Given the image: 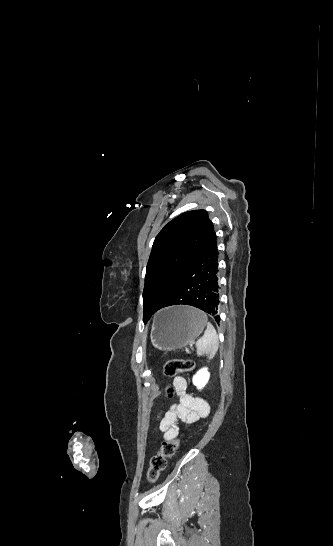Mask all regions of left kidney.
Wrapping results in <instances>:
<instances>
[{
  "label": "left kidney",
  "mask_w": 333,
  "mask_h": 546,
  "mask_svg": "<svg viewBox=\"0 0 333 546\" xmlns=\"http://www.w3.org/2000/svg\"><path fill=\"white\" fill-rule=\"evenodd\" d=\"M209 377L210 374L207 368H202L193 376V384L197 386L198 389H202L207 384Z\"/></svg>",
  "instance_id": "1"
}]
</instances>
